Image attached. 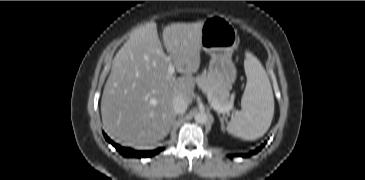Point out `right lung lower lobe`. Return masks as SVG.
<instances>
[{"label":"right lung lower lobe","mask_w":365,"mask_h":180,"mask_svg":"<svg viewBox=\"0 0 365 180\" xmlns=\"http://www.w3.org/2000/svg\"><path fill=\"white\" fill-rule=\"evenodd\" d=\"M104 137L124 157H137V158L151 157V156L156 155L157 153H159L160 151L163 150V148H158L157 150H153V151H136V150H133L131 148H125V147L119 146L118 144H116L112 140H110L109 137L106 134H104Z\"/></svg>","instance_id":"obj_1"}]
</instances>
